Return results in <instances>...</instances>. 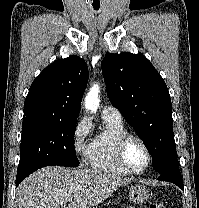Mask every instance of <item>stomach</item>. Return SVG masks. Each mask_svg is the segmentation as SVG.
Here are the masks:
<instances>
[{
  "instance_id": "1",
  "label": "stomach",
  "mask_w": 199,
  "mask_h": 208,
  "mask_svg": "<svg viewBox=\"0 0 199 208\" xmlns=\"http://www.w3.org/2000/svg\"><path fill=\"white\" fill-rule=\"evenodd\" d=\"M149 190L144 185L131 186L128 192L130 202L134 204H143L149 199ZM120 199L116 200V203L120 204Z\"/></svg>"
}]
</instances>
